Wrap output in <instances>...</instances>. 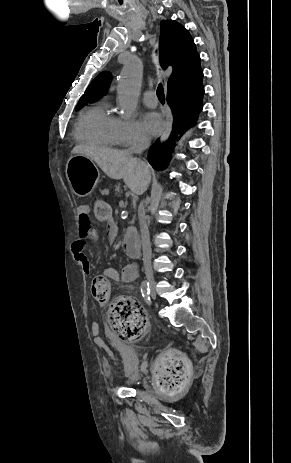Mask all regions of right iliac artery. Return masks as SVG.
Wrapping results in <instances>:
<instances>
[{
    "label": "right iliac artery",
    "mask_w": 291,
    "mask_h": 463,
    "mask_svg": "<svg viewBox=\"0 0 291 463\" xmlns=\"http://www.w3.org/2000/svg\"><path fill=\"white\" fill-rule=\"evenodd\" d=\"M141 293H142V296L144 298V300L146 301V303L150 304V288H149V282L144 280L142 283H141Z\"/></svg>",
    "instance_id": "1"
}]
</instances>
